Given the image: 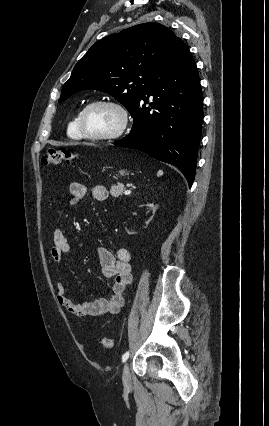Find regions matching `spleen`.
I'll return each mask as SVG.
<instances>
[{
	"mask_svg": "<svg viewBox=\"0 0 269 426\" xmlns=\"http://www.w3.org/2000/svg\"><path fill=\"white\" fill-rule=\"evenodd\" d=\"M162 175H163V171L159 170L158 173H157V176H162Z\"/></svg>",
	"mask_w": 269,
	"mask_h": 426,
	"instance_id": "obj_1",
	"label": "spleen"
}]
</instances>
